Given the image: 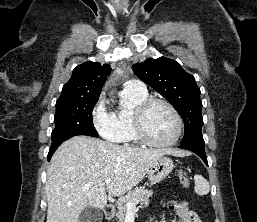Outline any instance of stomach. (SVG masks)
Here are the masks:
<instances>
[{
  "label": "stomach",
  "instance_id": "0dacf381",
  "mask_svg": "<svg viewBox=\"0 0 257 222\" xmlns=\"http://www.w3.org/2000/svg\"><path fill=\"white\" fill-rule=\"evenodd\" d=\"M173 167V161L169 157H159L148 171L150 183L156 184L164 180L172 171Z\"/></svg>",
  "mask_w": 257,
  "mask_h": 222
}]
</instances>
